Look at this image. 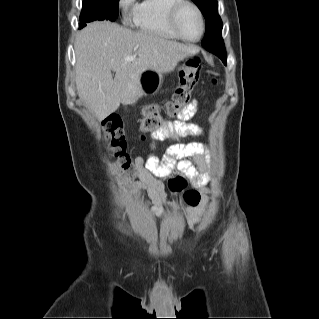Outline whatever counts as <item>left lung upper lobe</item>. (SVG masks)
I'll return each mask as SVG.
<instances>
[{"label":"left lung upper lobe","mask_w":319,"mask_h":319,"mask_svg":"<svg viewBox=\"0 0 319 319\" xmlns=\"http://www.w3.org/2000/svg\"><path fill=\"white\" fill-rule=\"evenodd\" d=\"M202 12L206 20L205 35L202 46L217 55L226 65L227 56L222 39V20L218 15L217 0H192Z\"/></svg>","instance_id":"1"}]
</instances>
